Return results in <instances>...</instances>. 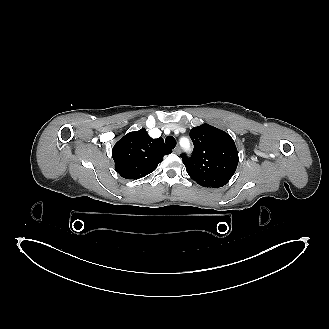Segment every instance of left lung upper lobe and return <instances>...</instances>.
I'll return each instance as SVG.
<instances>
[{
    "label": "left lung upper lobe",
    "mask_w": 329,
    "mask_h": 329,
    "mask_svg": "<svg viewBox=\"0 0 329 329\" xmlns=\"http://www.w3.org/2000/svg\"><path fill=\"white\" fill-rule=\"evenodd\" d=\"M194 151L182 154L189 176L203 187H222L233 176L238 165V151L231 136L209 124L190 131Z\"/></svg>",
    "instance_id": "5c2ea615"
}]
</instances>
